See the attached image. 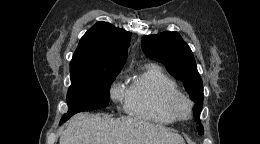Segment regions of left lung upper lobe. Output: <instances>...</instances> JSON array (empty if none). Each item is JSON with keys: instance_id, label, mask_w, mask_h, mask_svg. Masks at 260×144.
Listing matches in <instances>:
<instances>
[{"instance_id": "5c2ea615", "label": "left lung upper lobe", "mask_w": 260, "mask_h": 144, "mask_svg": "<svg viewBox=\"0 0 260 144\" xmlns=\"http://www.w3.org/2000/svg\"><path fill=\"white\" fill-rule=\"evenodd\" d=\"M142 48L148 58L164 64L172 76L183 82L196 103L195 120L199 123V134L202 135L204 130L199 117L203 107V85L189 46L179 33L166 31L143 36Z\"/></svg>"}]
</instances>
